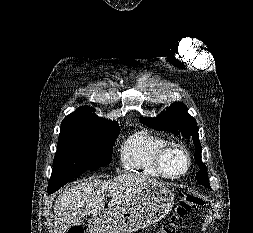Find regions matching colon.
<instances>
[{
	"label": "colon",
	"instance_id": "obj_1",
	"mask_svg": "<svg viewBox=\"0 0 253 233\" xmlns=\"http://www.w3.org/2000/svg\"><path fill=\"white\" fill-rule=\"evenodd\" d=\"M204 205V199L200 196L190 193H180L179 202L174 214L167 221L159 233H176L181 225L183 218L191 211L197 210ZM68 233H84L81 225H72L68 229Z\"/></svg>",
	"mask_w": 253,
	"mask_h": 233
}]
</instances>
